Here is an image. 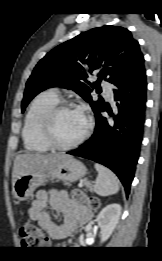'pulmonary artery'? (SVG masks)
I'll return each mask as SVG.
<instances>
[{"label": "pulmonary artery", "instance_id": "1", "mask_svg": "<svg viewBox=\"0 0 162 261\" xmlns=\"http://www.w3.org/2000/svg\"><path fill=\"white\" fill-rule=\"evenodd\" d=\"M101 85H102L103 92L105 93L107 98L112 101L114 98L112 86L106 81H103ZM53 92L57 93L56 90H54Z\"/></svg>", "mask_w": 162, "mask_h": 261}]
</instances>
